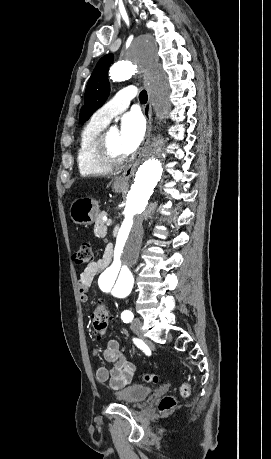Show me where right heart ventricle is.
I'll use <instances>...</instances> for the list:
<instances>
[{"instance_id": "e07e8e85", "label": "right heart ventricle", "mask_w": 271, "mask_h": 459, "mask_svg": "<svg viewBox=\"0 0 271 459\" xmlns=\"http://www.w3.org/2000/svg\"><path fill=\"white\" fill-rule=\"evenodd\" d=\"M106 125L92 117L80 130L75 160L77 171L81 177L90 178L102 175L114 168V165L93 161L90 154L94 139L105 129Z\"/></svg>"}]
</instances>
